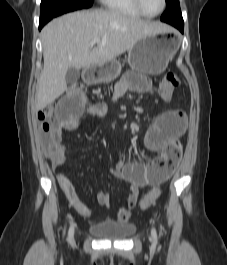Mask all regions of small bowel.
<instances>
[{"mask_svg": "<svg viewBox=\"0 0 227 265\" xmlns=\"http://www.w3.org/2000/svg\"><path fill=\"white\" fill-rule=\"evenodd\" d=\"M149 89L150 82L147 78L141 76L139 72H127L117 83L113 98L117 100L130 91L144 93ZM103 111L102 104L89 105L86 91H81V87H70V91H64V96H61L55 105V116H59L58 123L51 127L48 142L44 145V152L53 170L57 171L66 161L65 147L62 144L63 131L75 130L84 114L101 115ZM185 127L186 117L183 112L165 111L159 114L149 126L144 138L145 146L150 151L161 153V155L172 148L180 150L177 141L184 133ZM111 174L129 185L126 205L117 211L118 222L127 223L131 218L132 209L137 204L140 190L146 186H156L162 183L171 173L163 170L156 158L147 163L120 162L111 170ZM56 178L72 207L81 215L89 217L91 212L78 195L72 181L60 172L56 173ZM97 202L103 207H109L111 203L109 193L98 192Z\"/></svg>", "mask_w": 227, "mask_h": 265, "instance_id": "small-bowel-1", "label": "small bowel"}]
</instances>
